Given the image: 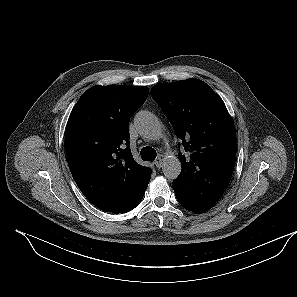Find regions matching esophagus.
<instances>
[{
    "mask_svg": "<svg viewBox=\"0 0 297 297\" xmlns=\"http://www.w3.org/2000/svg\"><path fill=\"white\" fill-rule=\"evenodd\" d=\"M154 164L156 165L157 168H161L163 166V159L161 157H158L155 161Z\"/></svg>",
    "mask_w": 297,
    "mask_h": 297,
    "instance_id": "obj_1",
    "label": "esophagus"
}]
</instances>
